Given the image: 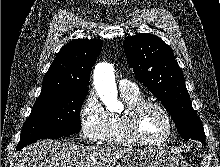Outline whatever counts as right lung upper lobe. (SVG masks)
I'll use <instances>...</instances> for the list:
<instances>
[{
	"mask_svg": "<svg viewBox=\"0 0 220 167\" xmlns=\"http://www.w3.org/2000/svg\"><path fill=\"white\" fill-rule=\"evenodd\" d=\"M102 49L98 39H75L63 46L46 73L38 99L72 89H86Z\"/></svg>",
	"mask_w": 220,
	"mask_h": 167,
	"instance_id": "1",
	"label": "right lung upper lobe"
}]
</instances>
